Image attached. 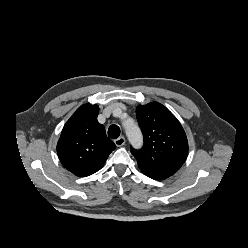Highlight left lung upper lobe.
I'll return each mask as SVG.
<instances>
[{"mask_svg": "<svg viewBox=\"0 0 248 248\" xmlns=\"http://www.w3.org/2000/svg\"><path fill=\"white\" fill-rule=\"evenodd\" d=\"M136 116L144 136L143 147L131 148L141 170L170 177L188 155L186 134L177 118L162 104L139 105Z\"/></svg>", "mask_w": 248, "mask_h": 248, "instance_id": "5c2ea615", "label": "left lung upper lobe"}]
</instances>
